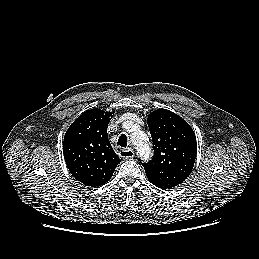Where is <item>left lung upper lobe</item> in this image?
Segmentation results:
<instances>
[{
	"mask_svg": "<svg viewBox=\"0 0 259 259\" xmlns=\"http://www.w3.org/2000/svg\"><path fill=\"white\" fill-rule=\"evenodd\" d=\"M154 145V156L143 163L145 171L174 173L186 179L194 166L196 136L190 125L177 114L158 109L147 119Z\"/></svg>",
	"mask_w": 259,
	"mask_h": 259,
	"instance_id": "1",
	"label": "left lung upper lobe"
}]
</instances>
